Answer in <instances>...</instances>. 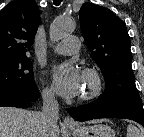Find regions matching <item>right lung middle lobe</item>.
<instances>
[{"instance_id":"dd1d6c3e","label":"right lung middle lobe","mask_w":144,"mask_h":137,"mask_svg":"<svg viewBox=\"0 0 144 137\" xmlns=\"http://www.w3.org/2000/svg\"><path fill=\"white\" fill-rule=\"evenodd\" d=\"M16 93L28 98L39 95L33 78V66L28 57L0 64V93Z\"/></svg>"}]
</instances>
